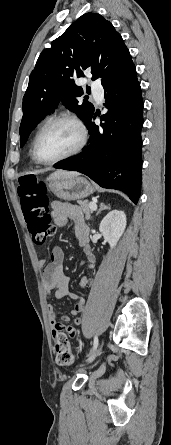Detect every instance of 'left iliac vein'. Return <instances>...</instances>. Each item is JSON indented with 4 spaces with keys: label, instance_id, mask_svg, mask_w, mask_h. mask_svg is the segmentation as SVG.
Wrapping results in <instances>:
<instances>
[{
    "label": "left iliac vein",
    "instance_id": "obj_1",
    "mask_svg": "<svg viewBox=\"0 0 171 445\" xmlns=\"http://www.w3.org/2000/svg\"><path fill=\"white\" fill-rule=\"evenodd\" d=\"M102 347H103V343H102L98 348H96L95 351H93V352L90 354V356H89V357L87 358V360H86V364L91 363V362H92L98 355L101 354Z\"/></svg>",
    "mask_w": 171,
    "mask_h": 445
}]
</instances>
